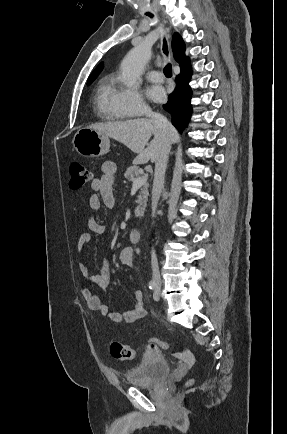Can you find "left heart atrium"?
Instances as JSON below:
<instances>
[{"mask_svg": "<svg viewBox=\"0 0 287 434\" xmlns=\"http://www.w3.org/2000/svg\"><path fill=\"white\" fill-rule=\"evenodd\" d=\"M147 93L149 98L156 102L162 101L165 97L164 89L161 86H151Z\"/></svg>", "mask_w": 287, "mask_h": 434, "instance_id": "obj_1", "label": "left heart atrium"}]
</instances>
